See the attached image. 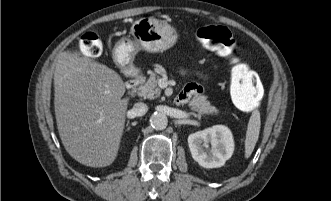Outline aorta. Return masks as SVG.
<instances>
[{
    "instance_id": "aorta-1",
    "label": "aorta",
    "mask_w": 331,
    "mask_h": 201,
    "mask_svg": "<svg viewBox=\"0 0 331 201\" xmlns=\"http://www.w3.org/2000/svg\"><path fill=\"white\" fill-rule=\"evenodd\" d=\"M150 124L155 129H164L168 124L167 116L162 112H155L150 117Z\"/></svg>"
}]
</instances>
